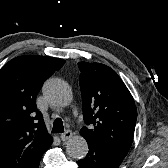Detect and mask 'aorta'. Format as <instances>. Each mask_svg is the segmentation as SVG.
Wrapping results in <instances>:
<instances>
[{
  "instance_id": "aorta-1",
  "label": "aorta",
  "mask_w": 168,
  "mask_h": 168,
  "mask_svg": "<svg viewBox=\"0 0 168 168\" xmlns=\"http://www.w3.org/2000/svg\"><path fill=\"white\" fill-rule=\"evenodd\" d=\"M42 92L46 100L57 107H66L73 100L70 86L61 79H48L43 85ZM66 151L73 159H83L88 153L87 141L80 135L73 136L66 143Z\"/></svg>"
}]
</instances>
